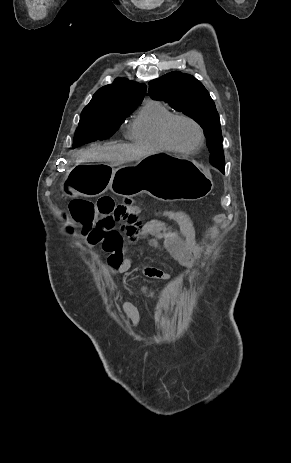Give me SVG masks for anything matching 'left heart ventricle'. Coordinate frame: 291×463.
<instances>
[{
	"label": "left heart ventricle",
	"instance_id": "b2bd125f",
	"mask_svg": "<svg viewBox=\"0 0 291 463\" xmlns=\"http://www.w3.org/2000/svg\"><path fill=\"white\" fill-rule=\"evenodd\" d=\"M171 136L179 146L193 148L198 143V131L193 124L185 120H178L171 129Z\"/></svg>",
	"mask_w": 291,
	"mask_h": 463
}]
</instances>
